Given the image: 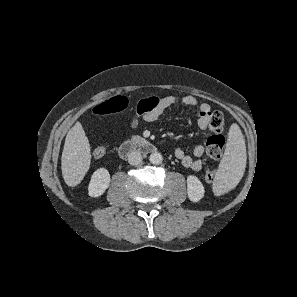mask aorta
<instances>
[{
	"instance_id": "762f6f07",
	"label": "aorta",
	"mask_w": 297,
	"mask_h": 297,
	"mask_svg": "<svg viewBox=\"0 0 297 297\" xmlns=\"http://www.w3.org/2000/svg\"><path fill=\"white\" fill-rule=\"evenodd\" d=\"M162 160H163V157L159 152H154L149 157V161L154 165L161 164Z\"/></svg>"
}]
</instances>
